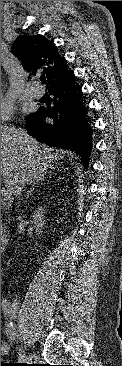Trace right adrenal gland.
Returning <instances> with one entry per match:
<instances>
[{
	"label": "right adrenal gland",
	"instance_id": "1",
	"mask_svg": "<svg viewBox=\"0 0 122 366\" xmlns=\"http://www.w3.org/2000/svg\"><path fill=\"white\" fill-rule=\"evenodd\" d=\"M44 180H45V178H44V176H43V177H41V178L36 179V180L33 182V184H32V188L28 191L26 199H28V198L32 195V192L34 191V187H35V185H36V184H38L39 182L44 181Z\"/></svg>",
	"mask_w": 122,
	"mask_h": 366
}]
</instances>
